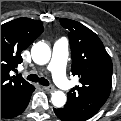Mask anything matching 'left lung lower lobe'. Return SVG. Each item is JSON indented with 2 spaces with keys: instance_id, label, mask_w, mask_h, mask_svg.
<instances>
[{
  "instance_id": "0a47b994",
  "label": "left lung lower lobe",
  "mask_w": 121,
  "mask_h": 121,
  "mask_svg": "<svg viewBox=\"0 0 121 121\" xmlns=\"http://www.w3.org/2000/svg\"><path fill=\"white\" fill-rule=\"evenodd\" d=\"M55 114L63 121H81L75 117H73L68 111H66L64 108L55 109Z\"/></svg>"
}]
</instances>
